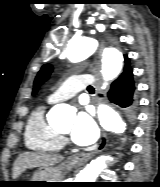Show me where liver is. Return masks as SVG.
<instances>
[{
    "instance_id": "6515ba94",
    "label": "liver",
    "mask_w": 160,
    "mask_h": 187,
    "mask_svg": "<svg viewBox=\"0 0 160 187\" xmlns=\"http://www.w3.org/2000/svg\"><path fill=\"white\" fill-rule=\"evenodd\" d=\"M63 159L64 157L60 155L25 152L14 162L13 178H18L27 169L52 167Z\"/></svg>"
}]
</instances>
